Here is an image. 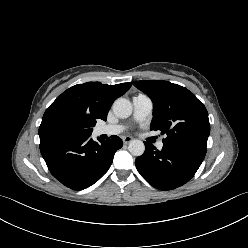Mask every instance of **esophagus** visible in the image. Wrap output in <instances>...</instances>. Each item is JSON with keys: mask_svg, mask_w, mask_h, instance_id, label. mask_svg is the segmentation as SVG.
Returning <instances> with one entry per match:
<instances>
[{"mask_svg": "<svg viewBox=\"0 0 248 248\" xmlns=\"http://www.w3.org/2000/svg\"><path fill=\"white\" fill-rule=\"evenodd\" d=\"M122 140L125 144H128L133 140V138L131 136H124Z\"/></svg>", "mask_w": 248, "mask_h": 248, "instance_id": "34e87169", "label": "esophagus"}]
</instances>
